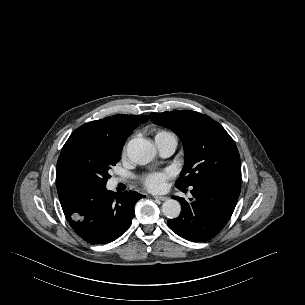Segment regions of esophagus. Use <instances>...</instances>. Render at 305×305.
<instances>
[{
    "instance_id": "34e87169",
    "label": "esophagus",
    "mask_w": 305,
    "mask_h": 305,
    "mask_svg": "<svg viewBox=\"0 0 305 305\" xmlns=\"http://www.w3.org/2000/svg\"><path fill=\"white\" fill-rule=\"evenodd\" d=\"M154 199L160 200V201H166L168 199L167 196H154Z\"/></svg>"
}]
</instances>
